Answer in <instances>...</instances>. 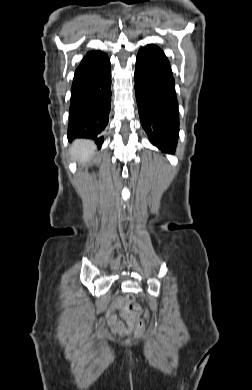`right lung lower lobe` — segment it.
Returning <instances> with one entry per match:
<instances>
[{"label":"right lung lower lobe","instance_id":"1","mask_svg":"<svg viewBox=\"0 0 252 390\" xmlns=\"http://www.w3.org/2000/svg\"><path fill=\"white\" fill-rule=\"evenodd\" d=\"M111 104V66L91 76L73 80L67 137L95 139L101 147Z\"/></svg>","mask_w":252,"mask_h":390}]
</instances>
